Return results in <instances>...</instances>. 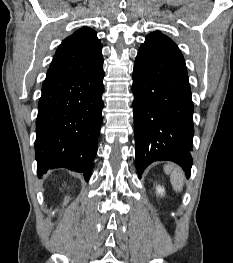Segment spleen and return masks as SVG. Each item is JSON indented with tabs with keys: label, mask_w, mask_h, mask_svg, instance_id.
<instances>
[{
	"label": "spleen",
	"mask_w": 233,
	"mask_h": 263,
	"mask_svg": "<svg viewBox=\"0 0 233 263\" xmlns=\"http://www.w3.org/2000/svg\"><path fill=\"white\" fill-rule=\"evenodd\" d=\"M164 171L170 175L171 184L176 191H181L184 184V175L178 167L168 164L165 165Z\"/></svg>",
	"instance_id": "obj_1"
}]
</instances>
